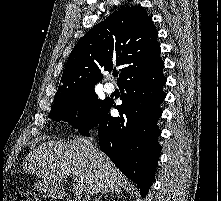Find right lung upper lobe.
<instances>
[{
  "instance_id": "obj_1",
  "label": "right lung upper lobe",
  "mask_w": 221,
  "mask_h": 201,
  "mask_svg": "<svg viewBox=\"0 0 221 201\" xmlns=\"http://www.w3.org/2000/svg\"><path fill=\"white\" fill-rule=\"evenodd\" d=\"M158 32L142 7L126 6L95 25L72 50L55 96L94 89L102 71L121 66L118 85L162 60Z\"/></svg>"
}]
</instances>
